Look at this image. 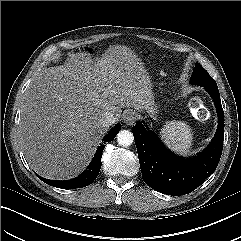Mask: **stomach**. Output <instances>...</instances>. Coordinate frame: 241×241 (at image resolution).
I'll list each match as a JSON object with an SVG mask.
<instances>
[{"instance_id":"1","label":"stomach","mask_w":241,"mask_h":241,"mask_svg":"<svg viewBox=\"0 0 241 241\" xmlns=\"http://www.w3.org/2000/svg\"><path fill=\"white\" fill-rule=\"evenodd\" d=\"M154 110H155L154 107H153V106H150V107L147 109V112L153 115V114L155 113Z\"/></svg>"}]
</instances>
